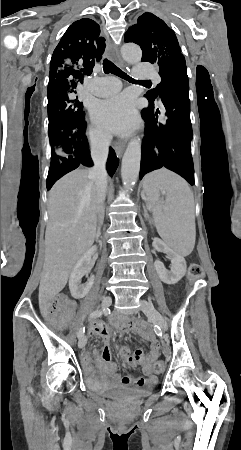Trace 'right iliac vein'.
<instances>
[{"label": "right iliac vein", "mask_w": 241, "mask_h": 450, "mask_svg": "<svg viewBox=\"0 0 241 450\" xmlns=\"http://www.w3.org/2000/svg\"><path fill=\"white\" fill-rule=\"evenodd\" d=\"M111 303H112L111 297L106 296V297L102 300V308H106V307L110 306ZM86 342H87V337H86V336H82V337L79 339V342H78L79 348H83V347L86 345Z\"/></svg>", "instance_id": "right-iliac-vein-1"}]
</instances>
